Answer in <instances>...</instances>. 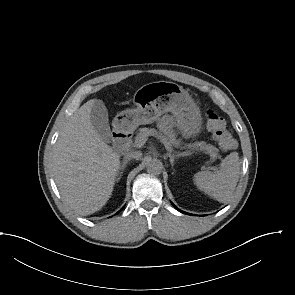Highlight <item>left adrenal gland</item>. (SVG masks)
Returning a JSON list of instances; mask_svg holds the SVG:
<instances>
[{
    "label": "left adrenal gland",
    "instance_id": "obj_1",
    "mask_svg": "<svg viewBox=\"0 0 295 295\" xmlns=\"http://www.w3.org/2000/svg\"><path fill=\"white\" fill-rule=\"evenodd\" d=\"M167 156L170 158L169 160H170V164H171V166L173 167L174 166V161H175V159L177 158V155H172V154H170V153H167Z\"/></svg>",
    "mask_w": 295,
    "mask_h": 295
}]
</instances>
